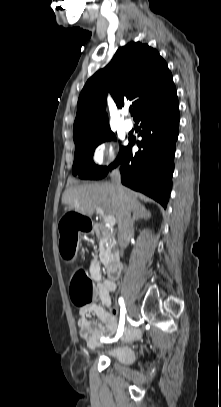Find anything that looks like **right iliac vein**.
<instances>
[{
    "instance_id": "63e3f726",
    "label": "right iliac vein",
    "mask_w": 221,
    "mask_h": 407,
    "mask_svg": "<svg viewBox=\"0 0 221 407\" xmlns=\"http://www.w3.org/2000/svg\"><path fill=\"white\" fill-rule=\"evenodd\" d=\"M135 314V306L130 304L128 307V318H132Z\"/></svg>"
}]
</instances>
